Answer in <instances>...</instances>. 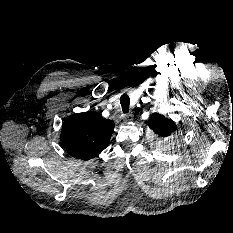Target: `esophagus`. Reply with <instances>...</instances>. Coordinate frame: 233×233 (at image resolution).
Instances as JSON below:
<instances>
[{
  "mask_svg": "<svg viewBox=\"0 0 233 233\" xmlns=\"http://www.w3.org/2000/svg\"><path fill=\"white\" fill-rule=\"evenodd\" d=\"M132 119H133L132 113H128V114L124 115V120L131 121Z\"/></svg>",
  "mask_w": 233,
  "mask_h": 233,
  "instance_id": "obj_1",
  "label": "esophagus"
}]
</instances>
